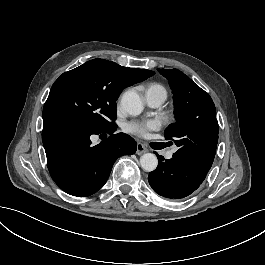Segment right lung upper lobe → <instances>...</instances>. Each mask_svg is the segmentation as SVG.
<instances>
[{"mask_svg":"<svg viewBox=\"0 0 265 265\" xmlns=\"http://www.w3.org/2000/svg\"><path fill=\"white\" fill-rule=\"evenodd\" d=\"M116 65H118V64H116ZM118 66L123 72H125V73H127L133 77L134 83L141 82V81L147 79L148 77H150L154 74V72L150 71V70L122 67L120 65H118Z\"/></svg>","mask_w":265,"mask_h":265,"instance_id":"obj_1","label":"right lung upper lobe"}]
</instances>
